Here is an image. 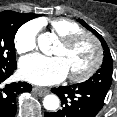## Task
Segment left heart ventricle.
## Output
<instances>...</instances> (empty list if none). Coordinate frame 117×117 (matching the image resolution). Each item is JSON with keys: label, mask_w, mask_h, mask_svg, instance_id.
<instances>
[{"label": "left heart ventricle", "mask_w": 117, "mask_h": 117, "mask_svg": "<svg viewBox=\"0 0 117 117\" xmlns=\"http://www.w3.org/2000/svg\"><path fill=\"white\" fill-rule=\"evenodd\" d=\"M54 55L64 61L68 74H80L93 63L95 49L89 39H82L69 48L59 43Z\"/></svg>", "instance_id": "left-heart-ventricle-1"}]
</instances>
